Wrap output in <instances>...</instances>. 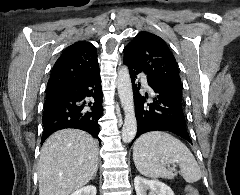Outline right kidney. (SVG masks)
<instances>
[{
	"label": "right kidney",
	"mask_w": 240,
	"mask_h": 195,
	"mask_svg": "<svg viewBox=\"0 0 240 195\" xmlns=\"http://www.w3.org/2000/svg\"><path fill=\"white\" fill-rule=\"evenodd\" d=\"M96 187L95 185H85V187H81V189H76L73 191L71 195H96Z\"/></svg>",
	"instance_id": "1"
}]
</instances>
